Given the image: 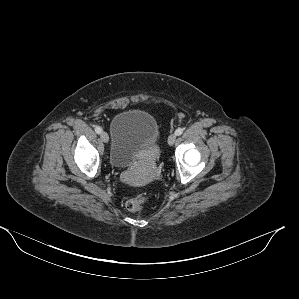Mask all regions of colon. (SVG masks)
<instances>
[{
  "mask_svg": "<svg viewBox=\"0 0 299 299\" xmlns=\"http://www.w3.org/2000/svg\"><path fill=\"white\" fill-rule=\"evenodd\" d=\"M147 198L145 196H136L133 198H130L126 202V208L129 211L136 212L139 211L143 205L146 203Z\"/></svg>",
  "mask_w": 299,
  "mask_h": 299,
  "instance_id": "colon-1",
  "label": "colon"
}]
</instances>
